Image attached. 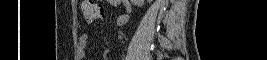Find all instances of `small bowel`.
I'll list each match as a JSON object with an SVG mask.
<instances>
[{"mask_svg":"<svg viewBox=\"0 0 267 60\" xmlns=\"http://www.w3.org/2000/svg\"><path fill=\"white\" fill-rule=\"evenodd\" d=\"M118 3H121L122 5H124L125 10L129 9L127 1L126 2H118ZM127 20H128V16L126 14L121 15L118 18V24H124ZM89 38H90V36L87 33H84L80 36V41L82 44H85L89 41Z\"/></svg>","mask_w":267,"mask_h":60,"instance_id":"small-bowel-1","label":"small bowel"}]
</instances>
